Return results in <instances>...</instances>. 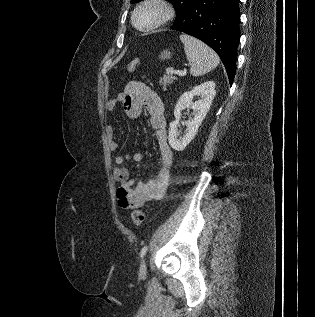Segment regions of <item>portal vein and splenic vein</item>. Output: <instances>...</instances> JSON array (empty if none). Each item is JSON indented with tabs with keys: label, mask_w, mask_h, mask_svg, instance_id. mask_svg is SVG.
<instances>
[{
	"label": "portal vein and splenic vein",
	"mask_w": 315,
	"mask_h": 317,
	"mask_svg": "<svg viewBox=\"0 0 315 317\" xmlns=\"http://www.w3.org/2000/svg\"><path fill=\"white\" fill-rule=\"evenodd\" d=\"M167 71H169L171 74L174 73V74H176L178 76H184L187 73L186 70L180 71V70H170V69H168Z\"/></svg>",
	"instance_id": "obj_1"
}]
</instances>
